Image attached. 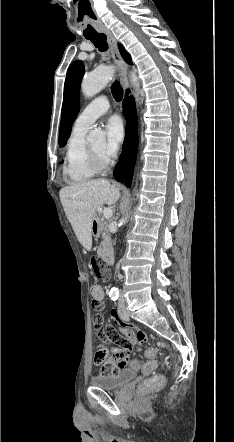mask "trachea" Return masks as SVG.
I'll use <instances>...</instances> for the list:
<instances>
[{"label": "trachea", "mask_w": 234, "mask_h": 442, "mask_svg": "<svg viewBox=\"0 0 234 442\" xmlns=\"http://www.w3.org/2000/svg\"><path fill=\"white\" fill-rule=\"evenodd\" d=\"M90 40L96 48L99 49L101 52H106L108 50V44H107V36L104 33L98 34L94 37L87 38ZM111 91L113 94V97L116 101H121L123 98V89L118 81H115L111 86Z\"/></svg>", "instance_id": "trachea-1"}]
</instances>
